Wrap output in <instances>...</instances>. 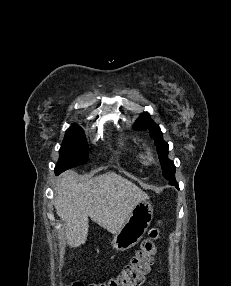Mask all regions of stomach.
<instances>
[{"mask_svg": "<svg viewBox=\"0 0 231 286\" xmlns=\"http://www.w3.org/2000/svg\"><path fill=\"white\" fill-rule=\"evenodd\" d=\"M153 218V207L148 201L139 202L118 232L111 245L118 251L134 247L144 236Z\"/></svg>", "mask_w": 231, "mask_h": 286, "instance_id": "stomach-1", "label": "stomach"}]
</instances>
